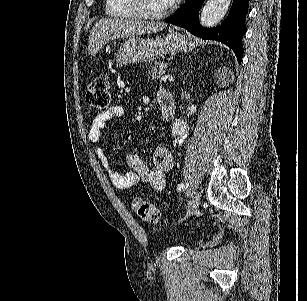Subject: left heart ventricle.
Masks as SVG:
<instances>
[{
    "label": "left heart ventricle",
    "mask_w": 307,
    "mask_h": 301,
    "mask_svg": "<svg viewBox=\"0 0 307 301\" xmlns=\"http://www.w3.org/2000/svg\"><path fill=\"white\" fill-rule=\"evenodd\" d=\"M147 4L146 13H152L153 11H159L160 7L163 5V0H146ZM145 11V8H143Z\"/></svg>",
    "instance_id": "1"
}]
</instances>
